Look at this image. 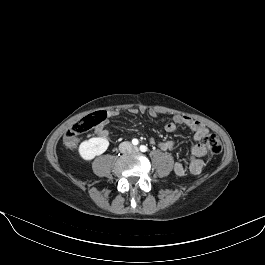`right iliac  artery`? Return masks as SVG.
Wrapping results in <instances>:
<instances>
[{
	"label": "right iliac artery",
	"mask_w": 265,
	"mask_h": 265,
	"mask_svg": "<svg viewBox=\"0 0 265 265\" xmlns=\"http://www.w3.org/2000/svg\"><path fill=\"white\" fill-rule=\"evenodd\" d=\"M132 143H133V145H138L139 144V141L137 139H133L132 140Z\"/></svg>",
	"instance_id": "82829eb1"
}]
</instances>
